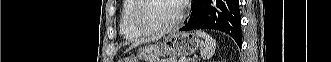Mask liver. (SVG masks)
Wrapping results in <instances>:
<instances>
[{"label": "liver", "instance_id": "1", "mask_svg": "<svg viewBox=\"0 0 331 62\" xmlns=\"http://www.w3.org/2000/svg\"><path fill=\"white\" fill-rule=\"evenodd\" d=\"M159 38H160V37L158 36V37H153V38L143 39V40H140V41L134 43L131 47L133 48V47L138 46L139 44L146 43V42H151V41L157 40V39H159Z\"/></svg>", "mask_w": 331, "mask_h": 62}]
</instances>
